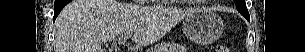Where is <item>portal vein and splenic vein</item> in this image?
<instances>
[{
    "label": "portal vein and splenic vein",
    "instance_id": "18ae733b",
    "mask_svg": "<svg viewBox=\"0 0 305 52\" xmlns=\"http://www.w3.org/2000/svg\"><path fill=\"white\" fill-rule=\"evenodd\" d=\"M131 36H132L131 33H127V34H124V35L120 36V37L118 38L119 44L124 43L125 40H126L127 38L131 37Z\"/></svg>",
    "mask_w": 305,
    "mask_h": 52
}]
</instances>
